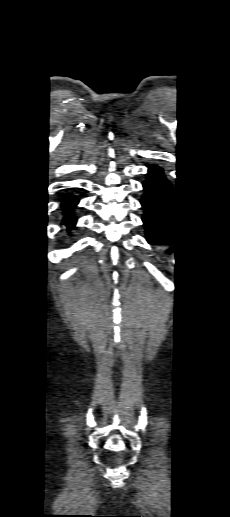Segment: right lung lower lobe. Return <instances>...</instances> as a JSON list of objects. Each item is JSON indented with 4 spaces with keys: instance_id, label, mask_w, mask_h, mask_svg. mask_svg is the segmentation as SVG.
<instances>
[{
    "instance_id": "right-lung-lower-lobe-1",
    "label": "right lung lower lobe",
    "mask_w": 230,
    "mask_h": 517,
    "mask_svg": "<svg viewBox=\"0 0 230 517\" xmlns=\"http://www.w3.org/2000/svg\"><path fill=\"white\" fill-rule=\"evenodd\" d=\"M62 201H63L61 204L62 208L64 210L70 209V211L72 212L73 207H75L78 204L79 200L77 198L68 196V197L64 198ZM75 223H76V218L72 214H67L63 219V224H65L68 227V229H73Z\"/></svg>"
}]
</instances>
